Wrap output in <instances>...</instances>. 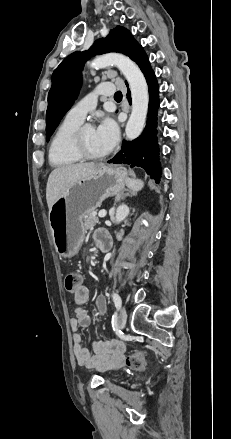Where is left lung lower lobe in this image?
<instances>
[{
  "instance_id": "1",
  "label": "left lung lower lobe",
  "mask_w": 231,
  "mask_h": 439,
  "mask_svg": "<svg viewBox=\"0 0 231 439\" xmlns=\"http://www.w3.org/2000/svg\"><path fill=\"white\" fill-rule=\"evenodd\" d=\"M135 62L143 72L149 89V109L146 127L137 139L123 141L121 150L109 163L127 164L130 167H142L146 173L157 182L161 177L159 162V149L157 144V109L159 107L158 84L149 59L144 51L136 58ZM128 85V84H127ZM128 100L131 102L130 91L127 92Z\"/></svg>"
}]
</instances>
